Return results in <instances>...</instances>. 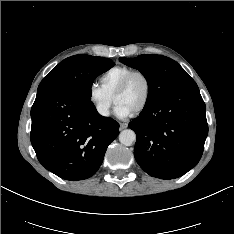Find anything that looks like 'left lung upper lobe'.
<instances>
[{
  "mask_svg": "<svg viewBox=\"0 0 234 234\" xmlns=\"http://www.w3.org/2000/svg\"><path fill=\"white\" fill-rule=\"evenodd\" d=\"M119 60L138 69L148 82V97L143 110L150 109L173 91L194 82L176 61L165 56L145 54L136 58L120 57Z\"/></svg>",
  "mask_w": 234,
  "mask_h": 234,
  "instance_id": "5c2ea615",
  "label": "left lung upper lobe"
}]
</instances>
